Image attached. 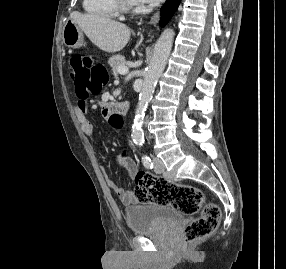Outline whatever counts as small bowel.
I'll return each instance as SVG.
<instances>
[{
    "label": "small bowel",
    "mask_w": 286,
    "mask_h": 269,
    "mask_svg": "<svg viewBox=\"0 0 286 269\" xmlns=\"http://www.w3.org/2000/svg\"><path fill=\"white\" fill-rule=\"evenodd\" d=\"M98 106H100V109L102 110L100 112L101 120H113L114 119V112L113 110H109L108 106L105 105V101H98ZM76 117L79 121L80 127L82 132L90 137L94 138L95 132L94 127L91 121L88 118V106L85 100H79L77 104L74 107ZM117 162L123 166L126 167L128 171V176L130 179H134L135 176L138 174V166L135 163V161L128 155H119L117 158ZM105 180L107 185L110 187V189L117 195V197L121 200L123 204H133L137 202V199L135 197V193L131 189L123 188L119 185H117L110 176L105 173Z\"/></svg>",
    "instance_id": "obj_1"
}]
</instances>
